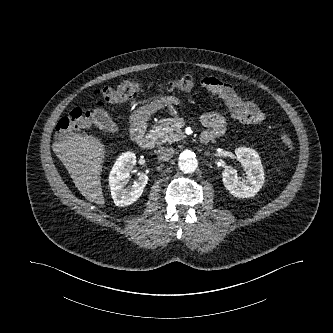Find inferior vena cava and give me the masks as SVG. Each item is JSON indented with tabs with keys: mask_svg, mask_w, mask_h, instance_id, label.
I'll use <instances>...</instances> for the list:
<instances>
[{
	"mask_svg": "<svg viewBox=\"0 0 333 333\" xmlns=\"http://www.w3.org/2000/svg\"><path fill=\"white\" fill-rule=\"evenodd\" d=\"M174 152L173 148L162 147L157 150V158L159 161H168L173 157Z\"/></svg>",
	"mask_w": 333,
	"mask_h": 333,
	"instance_id": "obj_1",
	"label": "inferior vena cava"
}]
</instances>
